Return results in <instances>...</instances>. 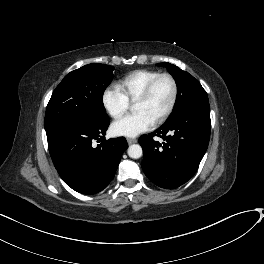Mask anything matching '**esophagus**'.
<instances>
[{"instance_id":"esophagus-1","label":"esophagus","mask_w":264,"mask_h":264,"mask_svg":"<svg viewBox=\"0 0 264 264\" xmlns=\"http://www.w3.org/2000/svg\"><path fill=\"white\" fill-rule=\"evenodd\" d=\"M136 139H133V138H127V142L128 144H133V143H136Z\"/></svg>"}]
</instances>
